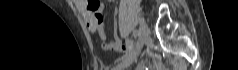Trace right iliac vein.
I'll return each mask as SVG.
<instances>
[{"mask_svg": "<svg viewBox=\"0 0 238 70\" xmlns=\"http://www.w3.org/2000/svg\"><path fill=\"white\" fill-rule=\"evenodd\" d=\"M147 39H148V28H147L146 23L144 21H141L140 27H139V39H138L135 49L127 58L123 59L116 66V68H114V70H123V69L127 68L128 66H130L136 60L138 55L140 54V52L143 48V45L145 44Z\"/></svg>", "mask_w": 238, "mask_h": 70, "instance_id": "obj_1", "label": "right iliac vein"}]
</instances>
